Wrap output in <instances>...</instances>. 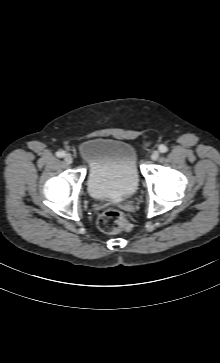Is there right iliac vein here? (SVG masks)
<instances>
[{
	"instance_id": "1",
	"label": "right iliac vein",
	"mask_w": 220,
	"mask_h": 363,
	"mask_svg": "<svg viewBox=\"0 0 220 363\" xmlns=\"http://www.w3.org/2000/svg\"><path fill=\"white\" fill-rule=\"evenodd\" d=\"M64 160L67 164H71L73 162V157L71 154H65Z\"/></svg>"
}]
</instances>
